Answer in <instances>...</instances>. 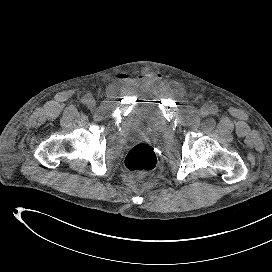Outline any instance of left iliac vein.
I'll use <instances>...</instances> for the list:
<instances>
[{
	"label": "left iliac vein",
	"instance_id": "1",
	"mask_svg": "<svg viewBox=\"0 0 272 272\" xmlns=\"http://www.w3.org/2000/svg\"><path fill=\"white\" fill-rule=\"evenodd\" d=\"M210 113V110H209V108L208 107H203L202 109H201V111H200V115L201 116H207L208 114Z\"/></svg>",
	"mask_w": 272,
	"mask_h": 272
}]
</instances>
